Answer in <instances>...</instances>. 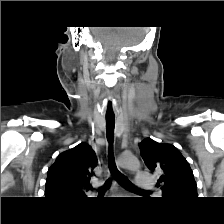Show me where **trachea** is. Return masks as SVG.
I'll return each instance as SVG.
<instances>
[{"label":"trachea","mask_w":224,"mask_h":224,"mask_svg":"<svg viewBox=\"0 0 224 224\" xmlns=\"http://www.w3.org/2000/svg\"><path fill=\"white\" fill-rule=\"evenodd\" d=\"M114 128H115V117H106V136L109 146L108 163L112 176L127 190H141L140 188L134 186L125 176H123L117 169L114 161L113 155V141H114ZM111 179L107 180L105 186L100 188L99 193H104V191L110 187Z\"/></svg>","instance_id":"3493384b"}]
</instances>
